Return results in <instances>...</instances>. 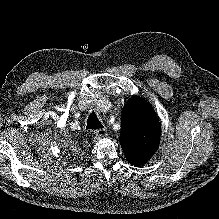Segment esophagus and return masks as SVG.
<instances>
[{"label": "esophagus", "mask_w": 219, "mask_h": 219, "mask_svg": "<svg viewBox=\"0 0 219 219\" xmlns=\"http://www.w3.org/2000/svg\"><path fill=\"white\" fill-rule=\"evenodd\" d=\"M95 134L98 137H104L107 135V129L106 128L97 129V130H95Z\"/></svg>", "instance_id": "esophagus-1"}]
</instances>
